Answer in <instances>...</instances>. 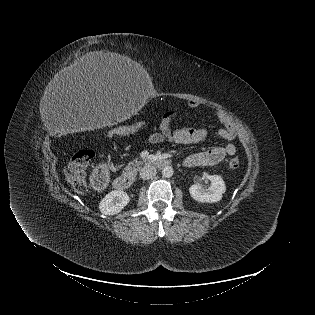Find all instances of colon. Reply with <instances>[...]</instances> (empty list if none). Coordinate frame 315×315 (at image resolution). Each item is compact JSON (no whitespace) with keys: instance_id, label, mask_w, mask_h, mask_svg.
<instances>
[{"instance_id":"colon-1","label":"colon","mask_w":315,"mask_h":315,"mask_svg":"<svg viewBox=\"0 0 315 315\" xmlns=\"http://www.w3.org/2000/svg\"><path fill=\"white\" fill-rule=\"evenodd\" d=\"M137 129L136 125H126L118 127L114 135L126 136ZM94 157V152L89 149H81L73 154L65 168V176L72 188L77 192L87 190L88 184L86 181L85 172ZM229 167L236 169L240 165L238 158H233L229 161ZM108 179V168L105 164L97 166L94 172L95 185L99 188L103 187Z\"/></svg>"}]
</instances>
